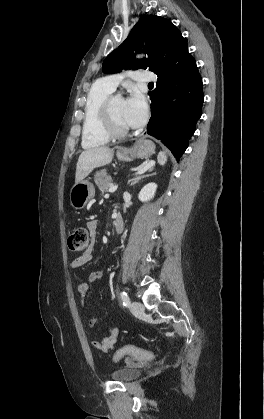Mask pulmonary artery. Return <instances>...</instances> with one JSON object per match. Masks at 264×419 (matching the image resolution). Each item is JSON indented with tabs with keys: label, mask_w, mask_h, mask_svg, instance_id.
Wrapping results in <instances>:
<instances>
[{
	"label": "pulmonary artery",
	"mask_w": 264,
	"mask_h": 419,
	"mask_svg": "<svg viewBox=\"0 0 264 419\" xmlns=\"http://www.w3.org/2000/svg\"><path fill=\"white\" fill-rule=\"evenodd\" d=\"M131 77L140 82H151L156 79L154 73L147 70H136L130 73ZM123 78L122 74H113L104 77L101 81L110 89L115 90L119 85L121 79Z\"/></svg>",
	"instance_id": "1"
}]
</instances>
